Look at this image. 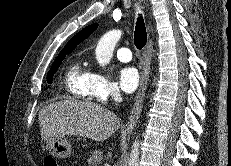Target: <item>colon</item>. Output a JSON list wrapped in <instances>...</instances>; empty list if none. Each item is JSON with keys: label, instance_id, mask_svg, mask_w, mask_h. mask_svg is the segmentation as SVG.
Segmentation results:
<instances>
[{"label": "colon", "instance_id": "5ec220e1", "mask_svg": "<svg viewBox=\"0 0 231 166\" xmlns=\"http://www.w3.org/2000/svg\"><path fill=\"white\" fill-rule=\"evenodd\" d=\"M44 166H59V165L54 157L47 156L44 159Z\"/></svg>", "mask_w": 231, "mask_h": 166}]
</instances>
